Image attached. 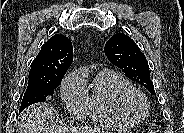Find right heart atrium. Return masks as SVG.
<instances>
[{
  "mask_svg": "<svg viewBox=\"0 0 184 133\" xmlns=\"http://www.w3.org/2000/svg\"><path fill=\"white\" fill-rule=\"evenodd\" d=\"M61 97L71 115L76 118L86 115L88 89L81 72H73L64 78L61 84Z\"/></svg>",
  "mask_w": 184,
  "mask_h": 133,
  "instance_id": "right-heart-atrium-1",
  "label": "right heart atrium"
}]
</instances>
